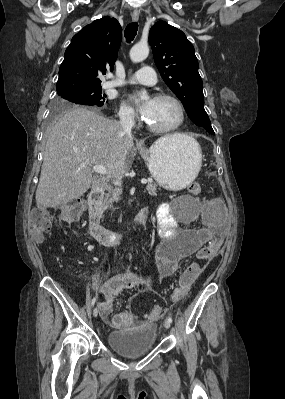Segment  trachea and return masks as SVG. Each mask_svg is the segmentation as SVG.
<instances>
[{"label":"trachea","instance_id":"3493384b","mask_svg":"<svg viewBox=\"0 0 285 399\" xmlns=\"http://www.w3.org/2000/svg\"><path fill=\"white\" fill-rule=\"evenodd\" d=\"M137 31H138V24L136 22L127 25L125 29V38L127 42H131L135 38Z\"/></svg>","mask_w":285,"mask_h":399}]
</instances>
